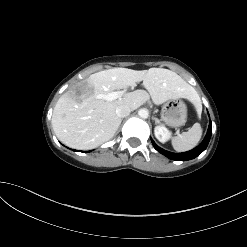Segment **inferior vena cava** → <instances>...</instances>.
Masks as SVG:
<instances>
[{"label":"inferior vena cava","instance_id":"obj_1","mask_svg":"<svg viewBox=\"0 0 247 247\" xmlns=\"http://www.w3.org/2000/svg\"><path fill=\"white\" fill-rule=\"evenodd\" d=\"M131 112V108L128 105H120L116 108V115L120 118L128 116Z\"/></svg>","mask_w":247,"mask_h":247}]
</instances>
